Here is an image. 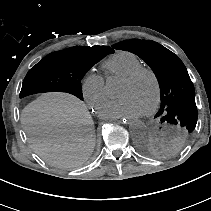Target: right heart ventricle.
Wrapping results in <instances>:
<instances>
[{
  "label": "right heart ventricle",
  "instance_id": "e07e8e85",
  "mask_svg": "<svg viewBox=\"0 0 211 211\" xmlns=\"http://www.w3.org/2000/svg\"><path fill=\"white\" fill-rule=\"evenodd\" d=\"M141 66H143L141 59L136 54L128 51H118L102 65L106 77L117 76L119 78Z\"/></svg>",
  "mask_w": 211,
  "mask_h": 211
}]
</instances>
